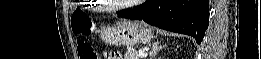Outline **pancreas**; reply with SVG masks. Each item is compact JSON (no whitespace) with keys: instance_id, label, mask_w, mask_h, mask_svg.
Returning <instances> with one entry per match:
<instances>
[{"instance_id":"1","label":"pancreas","mask_w":261,"mask_h":59,"mask_svg":"<svg viewBox=\"0 0 261 59\" xmlns=\"http://www.w3.org/2000/svg\"><path fill=\"white\" fill-rule=\"evenodd\" d=\"M137 51L134 47H128L127 51L124 54V59H143L137 56Z\"/></svg>"}]
</instances>
